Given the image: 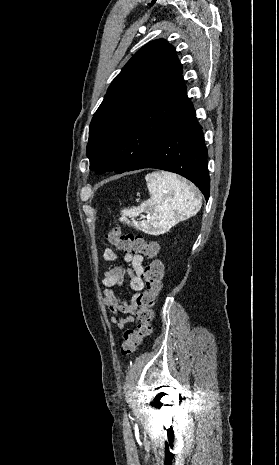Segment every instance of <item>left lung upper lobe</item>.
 I'll list each match as a JSON object with an SVG mask.
<instances>
[{"mask_svg": "<svg viewBox=\"0 0 279 465\" xmlns=\"http://www.w3.org/2000/svg\"><path fill=\"white\" fill-rule=\"evenodd\" d=\"M189 102L174 47L164 39L143 46L113 80L92 118L90 169L130 171L180 119Z\"/></svg>", "mask_w": 279, "mask_h": 465, "instance_id": "1", "label": "left lung upper lobe"}]
</instances>
